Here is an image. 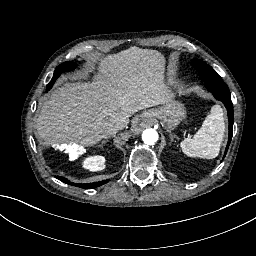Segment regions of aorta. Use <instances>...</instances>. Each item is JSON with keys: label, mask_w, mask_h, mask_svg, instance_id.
<instances>
[{"label": "aorta", "mask_w": 256, "mask_h": 256, "mask_svg": "<svg viewBox=\"0 0 256 256\" xmlns=\"http://www.w3.org/2000/svg\"><path fill=\"white\" fill-rule=\"evenodd\" d=\"M144 133L146 134L145 139L143 136ZM158 139H159V134L153 128H148V129L144 130L142 133V140L147 145H154L158 141Z\"/></svg>", "instance_id": "aorta-1"}]
</instances>
